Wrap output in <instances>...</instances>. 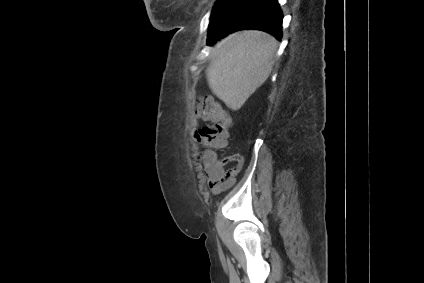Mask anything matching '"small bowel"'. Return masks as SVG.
Segmentation results:
<instances>
[{"label": "small bowel", "mask_w": 424, "mask_h": 283, "mask_svg": "<svg viewBox=\"0 0 424 283\" xmlns=\"http://www.w3.org/2000/svg\"><path fill=\"white\" fill-rule=\"evenodd\" d=\"M243 157L239 154L218 158L212 165L205 164L206 182L213 194H219L230 188L236 181L237 174L243 166ZM229 163L233 166L226 168Z\"/></svg>", "instance_id": "c3829d8e"}]
</instances>
